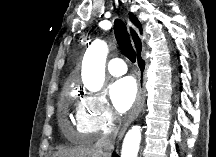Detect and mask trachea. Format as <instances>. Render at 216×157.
Masks as SVG:
<instances>
[{
  "label": "trachea",
  "mask_w": 216,
  "mask_h": 157,
  "mask_svg": "<svg viewBox=\"0 0 216 157\" xmlns=\"http://www.w3.org/2000/svg\"><path fill=\"white\" fill-rule=\"evenodd\" d=\"M114 34H115V38L117 40V43L119 45V48H120L122 54H124L131 62L134 63L136 61V52L132 47L127 28H126L124 22L120 19H116L114 21ZM134 41H135L137 50H139L141 52L142 43L140 41V38L136 34H135V40ZM141 61L145 65L144 60L141 59Z\"/></svg>",
  "instance_id": "trachea-1"
}]
</instances>
